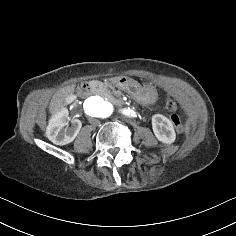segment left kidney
<instances>
[{
	"label": "left kidney",
	"mask_w": 236,
	"mask_h": 236,
	"mask_svg": "<svg viewBox=\"0 0 236 236\" xmlns=\"http://www.w3.org/2000/svg\"><path fill=\"white\" fill-rule=\"evenodd\" d=\"M152 128L155 136L159 141L171 144L176 138V133L172 122L162 114L152 116Z\"/></svg>",
	"instance_id": "obj_1"
}]
</instances>
